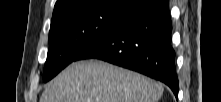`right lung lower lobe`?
I'll return each mask as SVG.
<instances>
[{"label": "right lung lower lobe", "instance_id": "1", "mask_svg": "<svg viewBox=\"0 0 221 102\" xmlns=\"http://www.w3.org/2000/svg\"><path fill=\"white\" fill-rule=\"evenodd\" d=\"M172 21L167 0H149L93 43L78 60L95 58L165 83L178 97Z\"/></svg>", "mask_w": 221, "mask_h": 102}]
</instances>
